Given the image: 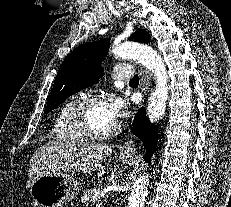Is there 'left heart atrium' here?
<instances>
[{
  "label": "left heart atrium",
  "instance_id": "39dd6f15",
  "mask_svg": "<svg viewBox=\"0 0 231 207\" xmlns=\"http://www.w3.org/2000/svg\"><path fill=\"white\" fill-rule=\"evenodd\" d=\"M106 107L114 120L122 118L126 111V104L121 97L112 96L105 102Z\"/></svg>",
  "mask_w": 231,
  "mask_h": 207
}]
</instances>
